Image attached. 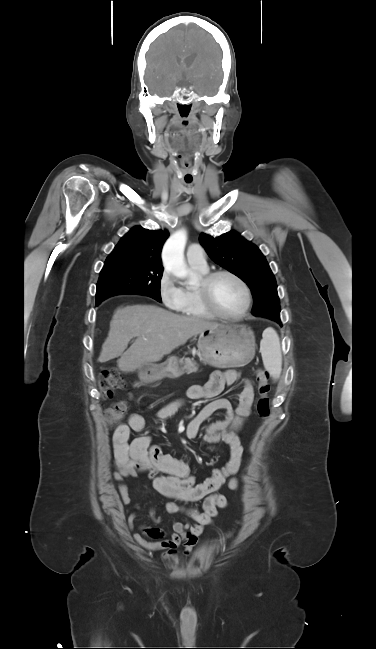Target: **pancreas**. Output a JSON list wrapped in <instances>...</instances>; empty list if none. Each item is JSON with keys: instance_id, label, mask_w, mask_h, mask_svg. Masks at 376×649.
<instances>
[{"instance_id": "obj_1", "label": "pancreas", "mask_w": 376, "mask_h": 649, "mask_svg": "<svg viewBox=\"0 0 376 649\" xmlns=\"http://www.w3.org/2000/svg\"><path fill=\"white\" fill-rule=\"evenodd\" d=\"M198 367L196 366V363L193 362L190 359H186L184 362V367H183V373L191 374L194 372H197Z\"/></svg>"}]
</instances>
